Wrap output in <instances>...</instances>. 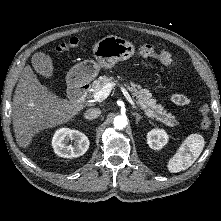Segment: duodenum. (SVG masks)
Here are the masks:
<instances>
[{
    "label": "duodenum",
    "instance_id": "410a0bca",
    "mask_svg": "<svg viewBox=\"0 0 221 221\" xmlns=\"http://www.w3.org/2000/svg\"><path fill=\"white\" fill-rule=\"evenodd\" d=\"M89 85L81 81H72L69 87L70 97L78 102H83L88 94Z\"/></svg>",
    "mask_w": 221,
    "mask_h": 221
}]
</instances>
